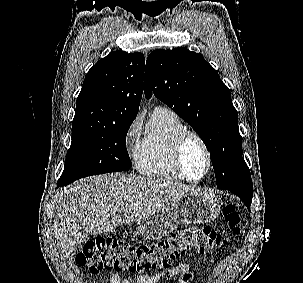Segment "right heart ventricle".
<instances>
[{
    "mask_svg": "<svg viewBox=\"0 0 303 283\" xmlns=\"http://www.w3.org/2000/svg\"><path fill=\"white\" fill-rule=\"evenodd\" d=\"M179 116L166 108L154 110L140 143L134 152L137 170L148 177L184 181L173 156L177 136L185 130Z\"/></svg>",
    "mask_w": 303,
    "mask_h": 283,
    "instance_id": "obj_1",
    "label": "right heart ventricle"
}]
</instances>
